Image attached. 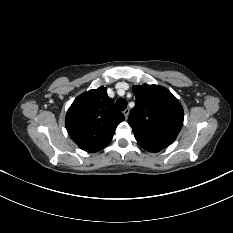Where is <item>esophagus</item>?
I'll return each instance as SVG.
<instances>
[{
	"mask_svg": "<svg viewBox=\"0 0 233 233\" xmlns=\"http://www.w3.org/2000/svg\"><path fill=\"white\" fill-rule=\"evenodd\" d=\"M129 113H130L129 108H126V109L123 111V114H124V116H125L126 119L128 118Z\"/></svg>",
	"mask_w": 233,
	"mask_h": 233,
	"instance_id": "34e87169",
	"label": "esophagus"
}]
</instances>
